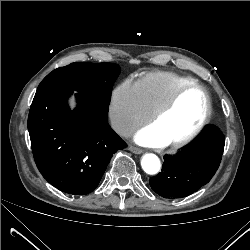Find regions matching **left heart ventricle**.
<instances>
[{
  "label": "left heart ventricle",
  "instance_id": "obj_1",
  "mask_svg": "<svg viewBox=\"0 0 250 250\" xmlns=\"http://www.w3.org/2000/svg\"><path fill=\"white\" fill-rule=\"evenodd\" d=\"M205 97L201 90L191 89L183 93L178 102L152 127L168 143L189 134L205 113Z\"/></svg>",
  "mask_w": 250,
  "mask_h": 250
}]
</instances>
